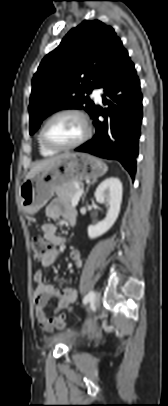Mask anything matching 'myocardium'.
I'll return each mask as SVG.
<instances>
[{
  "label": "myocardium",
  "mask_w": 168,
  "mask_h": 406,
  "mask_svg": "<svg viewBox=\"0 0 168 406\" xmlns=\"http://www.w3.org/2000/svg\"><path fill=\"white\" fill-rule=\"evenodd\" d=\"M65 114H73V115L78 116L83 122L84 133L77 141H75L71 144L62 145V146L54 145L51 142H49L48 139L46 138V135H45L46 128L53 119L57 118L58 116L65 115ZM91 134H92V126H91V123H90V120H89V117L87 116V114L78 108L70 107V108H64V109L58 110L55 113H53L44 122L43 126L41 127V130L39 132V137H40L42 144L46 148H48L50 150H54V151H64V150H70V149L79 147L80 145L85 143L90 138Z\"/></svg>",
  "instance_id": "obj_1"
}]
</instances>
